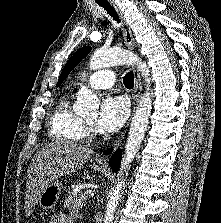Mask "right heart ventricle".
I'll list each match as a JSON object with an SVG mask.
<instances>
[{
  "instance_id": "obj_1",
  "label": "right heart ventricle",
  "mask_w": 221,
  "mask_h": 223,
  "mask_svg": "<svg viewBox=\"0 0 221 223\" xmlns=\"http://www.w3.org/2000/svg\"><path fill=\"white\" fill-rule=\"evenodd\" d=\"M84 133L83 120L72 110L70 97H62L50 114V138L57 142L77 143L83 140Z\"/></svg>"
}]
</instances>
